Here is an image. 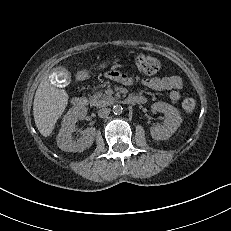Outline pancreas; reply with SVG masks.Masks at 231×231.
Instances as JSON below:
<instances>
[{"label": "pancreas", "instance_id": "cf45deb5", "mask_svg": "<svg viewBox=\"0 0 231 231\" xmlns=\"http://www.w3.org/2000/svg\"><path fill=\"white\" fill-rule=\"evenodd\" d=\"M89 100L91 106L104 107L110 105L114 98L106 95L103 90H98Z\"/></svg>", "mask_w": 231, "mask_h": 231}]
</instances>
